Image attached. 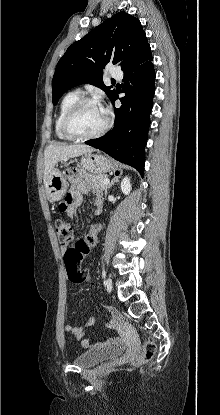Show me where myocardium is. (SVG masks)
Segmentation results:
<instances>
[{"instance_id":"f54148a6","label":"myocardium","mask_w":220,"mask_h":415,"mask_svg":"<svg viewBox=\"0 0 220 415\" xmlns=\"http://www.w3.org/2000/svg\"><path fill=\"white\" fill-rule=\"evenodd\" d=\"M98 105L101 107V103L99 100L94 98H81L76 103H74L64 114L62 122H61V129L63 133L69 137L71 140H77V141H87V140H93L101 137L105 132L107 131L109 127V119L106 116L105 123L102 126V128L91 135H80L75 133L71 128V122L74 116L86 105Z\"/></svg>"}]
</instances>
